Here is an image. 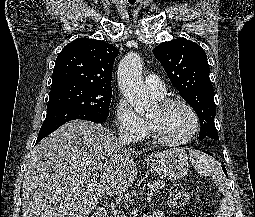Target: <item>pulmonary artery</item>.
Wrapping results in <instances>:
<instances>
[{"mask_svg":"<svg viewBox=\"0 0 255 217\" xmlns=\"http://www.w3.org/2000/svg\"><path fill=\"white\" fill-rule=\"evenodd\" d=\"M144 85L146 90L159 98L163 97L166 92L164 81L155 74L146 76Z\"/></svg>","mask_w":255,"mask_h":217,"instance_id":"e3ab8cb5","label":"pulmonary artery"}]
</instances>
